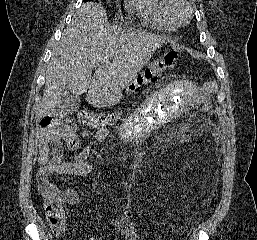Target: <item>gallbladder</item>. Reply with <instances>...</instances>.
I'll use <instances>...</instances> for the list:
<instances>
[{"instance_id":"bac80fb5","label":"gallbladder","mask_w":257,"mask_h":240,"mask_svg":"<svg viewBox=\"0 0 257 240\" xmlns=\"http://www.w3.org/2000/svg\"><path fill=\"white\" fill-rule=\"evenodd\" d=\"M79 106L80 98L75 96L72 93L71 87L67 85L55 110L58 115H70L77 111Z\"/></svg>"}]
</instances>
